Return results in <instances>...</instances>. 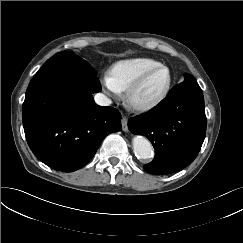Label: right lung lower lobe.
<instances>
[{"label":"right lung lower lobe","instance_id":"obj_1","mask_svg":"<svg viewBox=\"0 0 243 243\" xmlns=\"http://www.w3.org/2000/svg\"><path fill=\"white\" fill-rule=\"evenodd\" d=\"M93 74L37 72L26 91L22 117L34 155L47 166L73 172L94 156L102 140L121 130L120 113L98 106Z\"/></svg>","mask_w":243,"mask_h":243}]
</instances>
